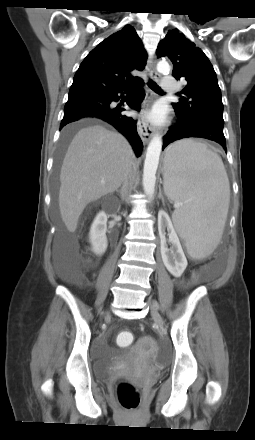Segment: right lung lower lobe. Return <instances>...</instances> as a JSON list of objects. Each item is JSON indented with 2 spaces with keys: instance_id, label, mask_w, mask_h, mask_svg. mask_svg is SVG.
<instances>
[{
  "instance_id": "obj_1",
  "label": "right lung lower lobe",
  "mask_w": 255,
  "mask_h": 440,
  "mask_svg": "<svg viewBox=\"0 0 255 440\" xmlns=\"http://www.w3.org/2000/svg\"><path fill=\"white\" fill-rule=\"evenodd\" d=\"M143 85V81L138 79L132 83L123 85L117 89L107 92L89 93L69 97L64 108V117L61 121L60 129L68 123L77 121L85 117H96L113 125L121 132L132 145L137 157L140 156L143 143L137 133L136 121L131 117L121 114L124 108L113 107L111 103L120 99L118 93H126L129 85ZM144 98L142 89L127 101L128 106L136 111H140L141 102Z\"/></svg>"
}]
</instances>
